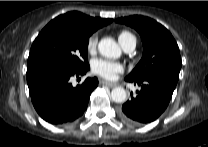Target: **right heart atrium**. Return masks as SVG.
I'll return each instance as SVG.
<instances>
[{
  "instance_id": "1",
  "label": "right heart atrium",
  "mask_w": 208,
  "mask_h": 147,
  "mask_svg": "<svg viewBox=\"0 0 208 147\" xmlns=\"http://www.w3.org/2000/svg\"><path fill=\"white\" fill-rule=\"evenodd\" d=\"M98 43V37L96 34H93L89 37L87 41V50L88 52L92 53L96 50Z\"/></svg>"
}]
</instances>
